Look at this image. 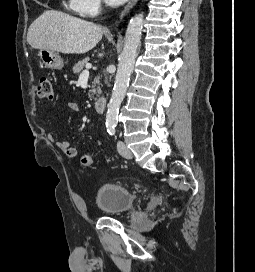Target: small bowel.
Returning <instances> with one entry per match:
<instances>
[{"mask_svg":"<svg viewBox=\"0 0 255 272\" xmlns=\"http://www.w3.org/2000/svg\"><path fill=\"white\" fill-rule=\"evenodd\" d=\"M69 108L74 113H79L80 108L76 103H70ZM48 140L55 145L58 149L63 151L65 155L69 158H75L78 155V150L75 146L71 145L66 140H59L55 135L49 134Z\"/></svg>","mask_w":255,"mask_h":272,"instance_id":"1","label":"small bowel"}]
</instances>
